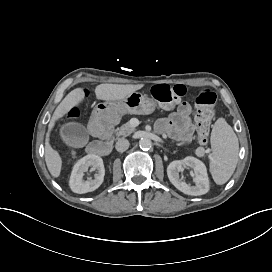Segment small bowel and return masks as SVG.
Wrapping results in <instances>:
<instances>
[{"mask_svg": "<svg viewBox=\"0 0 272 272\" xmlns=\"http://www.w3.org/2000/svg\"><path fill=\"white\" fill-rule=\"evenodd\" d=\"M195 116L194 108L189 103L182 102L176 111L171 112L167 117L159 119L155 128L158 132L166 133L176 141L188 143L197 126V123L195 126L192 121Z\"/></svg>", "mask_w": 272, "mask_h": 272, "instance_id": "obj_1", "label": "small bowel"}]
</instances>
